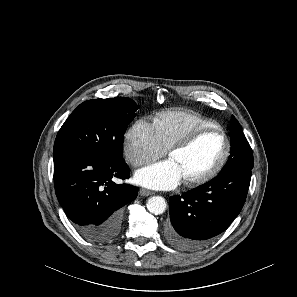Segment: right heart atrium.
<instances>
[{
  "label": "right heart atrium",
  "instance_id": "obj_1",
  "mask_svg": "<svg viewBox=\"0 0 297 297\" xmlns=\"http://www.w3.org/2000/svg\"><path fill=\"white\" fill-rule=\"evenodd\" d=\"M124 154L134 167L149 164L166 154V149L157 139L152 123L137 120L124 135Z\"/></svg>",
  "mask_w": 297,
  "mask_h": 297
}]
</instances>
